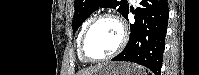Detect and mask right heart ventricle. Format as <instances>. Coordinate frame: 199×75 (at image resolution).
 <instances>
[{"label": "right heart ventricle", "instance_id": "obj_1", "mask_svg": "<svg viewBox=\"0 0 199 75\" xmlns=\"http://www.w3.org/2000/svg\"><path fill=\"white\" fill-rule=\"evenodd\" d=\"M92 19V17H89L85 20V22L83 23L82 25V28H81V31H80V34H79V37H78V43H79V39H80V36L83 32V30L85 29V27L87 26V24L90 22V20Z\"/></svg>", "mask_w": 199, "mask_h": 75}]
</instances>
